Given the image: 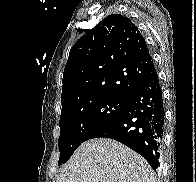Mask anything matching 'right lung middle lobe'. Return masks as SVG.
<instances>
[{
  "mask_svg": "<svg viewBox=\"0 0 196 182\" xmlns=\"http://www.w3.org/2000/svg\"><path fill=\"white\" fill-rule=\"evenodd\" d=\"M127 100L100 97L61 112L58 165L67 162L81 143L121 113Z\"/></svg>",
  "mask_w": 196,
  "mask_h": 182,
  "instance_id": "1",
  "label": "right lung middle lobe"
}]
</instances>
